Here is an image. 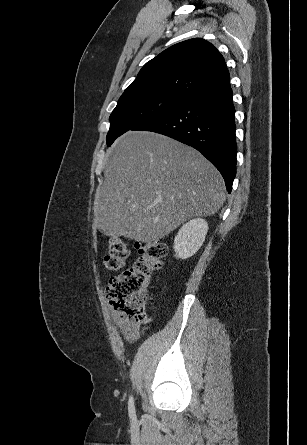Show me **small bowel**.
Segmentation results:
<instances>
[{
  "instance_id": "obj_1",
  "label": "small bowel",
  "mask_w": 307,
  "mask_h": 445,
  "mask_svg": "<svg viewBox=\"0 0 307 445\" xmlns=\"http://www.w3.org/2000/svg\"><path fill=\"white\" fill-rule=\"evenodd\" d=\"M111 317L114 324L119 327L123 337L127 341H135L139 337V326L137 324L130 323L114 309L111 311Z\"/></svg>"
}]
</instances>
